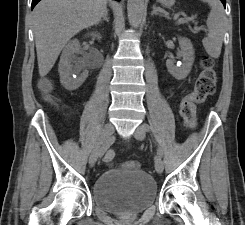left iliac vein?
I'll use <instances>...</instances> for the list:
<instances>
[{"label": "left iliac vein", "instance_id": "1", "mask_svg": "<svg viewBox=\"0 0 245 225\" xmlns=\"http://www.w3.org/2000/svg\"><path fill=\"white\" fill-rule=\"evenodd\" d=\"M146 131L143 128V125H140L136 128L134 132V137L137 140H143L145 138ZM155 170L157 173L161 174L164 170V164L161 158L155 159Z\"/></svg>", "mask_w": 245, "mask_h": 225}]
</instances>
